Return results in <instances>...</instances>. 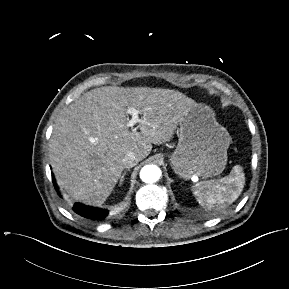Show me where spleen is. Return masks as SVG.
<instances>
[{"mask_svg": "<svg viewBox=\"0 0 289 289\" xmlns=\"http://www.w3.org/2000/svg\"><path fill=\"white\" fill-rule=\"evenodd\" d=\"M245 185V175L240 165H235L228 176L207 180L194 186V196L200 205L224 209L240 196Z\"/></svg>", "mask_w": 289, "mask_h": 289, "instance_id": "spleen-1", "label": "spleen"}]
</instances>
